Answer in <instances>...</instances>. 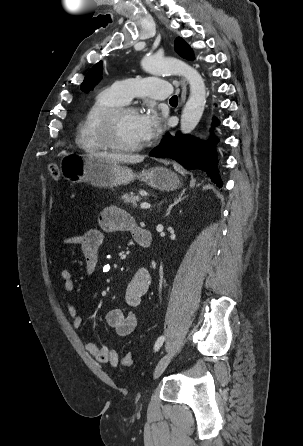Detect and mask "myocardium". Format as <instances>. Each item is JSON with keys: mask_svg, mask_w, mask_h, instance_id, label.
Listing matches in <instances>:
<instances>
[{"mask_svg": "<svg viewBox=\"0 0 303 446\" xmlns=\"http://www.w3.org/2000/svg\"><path fill=\"white\" fill-rule=\"evenodd\" d=\"M128 112L137 113V110L132 106L123 104L110 108L101 115L97 126V134L106 148L116 152L129 153L139 151L145 147L146 144L144 142L133 145H122L115 139L118 120Z\"/></svg>", "mask_w": 303, "mask_h": 446, "instance_id": "obj_1", "label": "myocardium"}]
</instances>
